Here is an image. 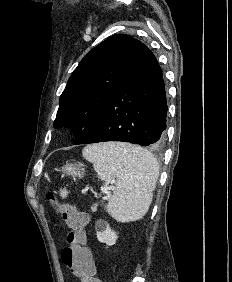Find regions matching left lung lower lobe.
I'll list each match as a JSON object with an SVG mask.
<instances>
[{
  "label": "left lung lower lobe",
  "mask_w": 232,
  "mask_h": 282,
  "mask_svg": "<svg viewBox=\"0 0 232 282\" xmlns=\"http://www.w3.org/2000/svg\"><path fill=\"white\" fill-rule=\"evenodd\" d=\"M167 110L162 70L146 47L127 80L104 105L95 127L74 144L122 141L159 148L165 139Z\"/></svg>",
  "instance_id": "0a47b994"
}]
</instances>
